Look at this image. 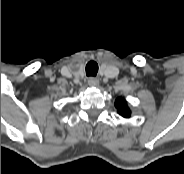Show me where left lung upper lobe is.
Instances as JSON below:
<instances>
[{"instance_id":"left-lung-upper-lobe-1","label":"left lung upper lobe","mask_w":184,"mask_h":174,"mask_svg":"<svg viewBox=\"0 0 184 174\" xmlns=\"http://www.w3.org/2000/svg\"><path fill=\"white\" fill-rule=\"evenodd\" d=\"M115 107L117 109L118 114H120L122 117H130L131 110L128 107L127 101L123 97H118L115 100Z\"/></svg>"}]
</instances>
